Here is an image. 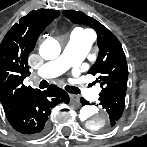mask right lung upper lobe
I'll list each match as a JSON object with an SVG mask.
<instances>
[{
    "instance_id": "1",
    "label": "right lung upper lobe",
    "mask_w": 147,
    "mask_h": 147,
    "mask_svg": "<svg viewBox=\"0 0 147 147\" xmlns=\"http://www.w3.org/2000/svg\"><path fill=\"white\" fill-rule=\"evenodd\" d=\"M59 14L49 9L31 11L14 24L1 42L0 102L6 115L21 108L39 91L23 84L30 74L28 56L39 34Z\"/></svg>"
}]
</instances>
